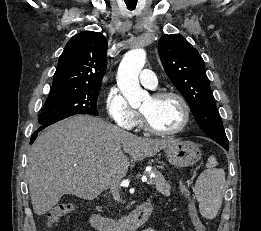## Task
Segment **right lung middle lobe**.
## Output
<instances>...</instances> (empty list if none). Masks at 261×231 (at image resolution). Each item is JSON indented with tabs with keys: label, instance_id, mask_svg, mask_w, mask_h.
I'll list each match as a JSON object with an SVG mask.
<instances>
[{
	"label": "right lung middle lobe",
	"instance_id": "obj_1",
	"mask_svg": "<svg viewBox=\"0 0 261 231\" xmlns=\"http://www.w3.org/2000/svg\"><path fill=\"white\" fill-rule=\"evenodd\" d=\"M100 88L51 89L39 123L45 125L75 114L98 116L96 109Z\"/></svg>",
	"mask_w": 261,
	"mask_h": 231
}]
</instances>
